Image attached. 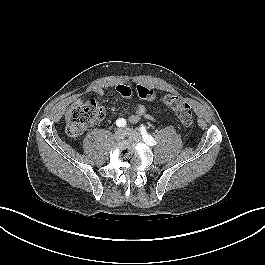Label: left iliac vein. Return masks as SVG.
Segmentation results:
<instances>
[{"label": "left iliac vein", "mask_w": 265, "mask_h": 265, "mask_svg": "<svg viewBox=\"0 0 265 265\" xmlns=\"http://www.w3.org/2000/svg\"><path fill=\"white\" fill-rule=\"evenodd\" d=\"M124 131L126 132L127 137H129L131 139H135V140H141L142 139L141 134L132 128H125Z\"/></svg>", "instance_id": "obj_1"}]
</instances>
